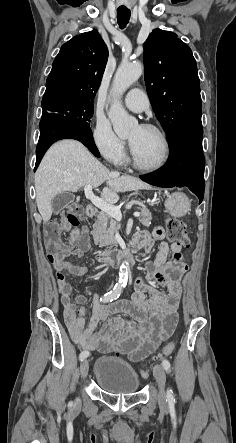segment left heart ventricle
Segmentation results:
<instances>
[{
  "instance_id": "1",
  "label": "left heart ventricle",
  "mask_w": 236,
  "mask_h": 443,
  "mask_svg": "<svg viewBox=\"0 0 236 443\" xmlns=\"http://www.w3.org/2000/svg\"><path fill=\"white\" fill-rule=\"evenodd\" d=\"M128 139L138 160L148 166L158 164L164 154V145L160 136L141 126L135 127Z\"/></svg>"
}]
</instances>
